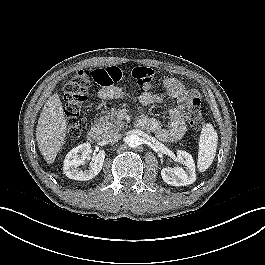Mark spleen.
<instances>
[{"instance_id":"obj_1","label":"spleen","mask_w":265,"mask_h":265,"mask_svg":"<svg viewBox=\"0 0 265 265\" xmlns=\"http://www.w3.org/2000/svg\"><path fill=\"white\" fill-rule=\"evenodd\" d=\"M217 141L218 135L214 127L211 124L204 125L199 140L197 162V167L200 172L207 170L213 163L217 149Z\"/></svg>"}]
</instances>
